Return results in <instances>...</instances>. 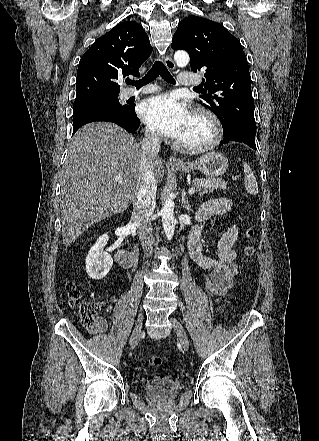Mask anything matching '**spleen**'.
Listing matches in <instances>:
<instances>
[{
  "label": "spleen",
  "instance_id": "spleen-1",
  "mask_svg": "<svg viewBox=\"0 0 319 441\" xmlns=\"http://www.w3.org/2000/svg\"><path fill=\"white\" fill-rule=\"evenodd\" d=\"M244 166V184L247 192L251 195L258 194V184L256 178L250 168V165L246 162L243 163Z\"/></svg>",
  "mask_w": 319,
  "mask_h": 441
}]
</instances>
